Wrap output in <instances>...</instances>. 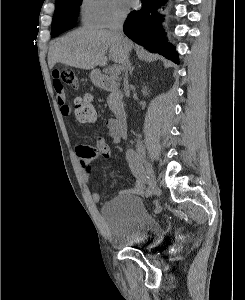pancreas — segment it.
<instances>
[{
	"label": "pancreas",
	"instance_id": "cf45deb5",
	"mask_svg": "<svg viewBox=\"0 0 245 300\" xmlns=\"http://www.w3.org/2000/svg\"><path fill=\"white\" fill-rule=\"evenodd\" d=\"M112 79L117 80L116 76H111ZM119 84H117L118 86ZM122 99V93L121 91H117L115 93H111L108 97V105L110 109L114 110L116 108H122L123 103L121 101Z\"/></svg>",
	"mask_w": 245,
	"mask_h": 300
}]
</instances>
